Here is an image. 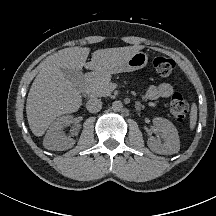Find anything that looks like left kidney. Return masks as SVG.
I'll use <instances>...</instances> for the list:
<instances>
[{"mask_svg": "<svg viewBox=\"0 0 216 216\" xmlns=\"http://www.w3.org/2000/svg\"><path fill=\"white\" fill-rule=\"evenodd\" d=\"M154 125L163 133L164 143L154 137L148 139V147L155 153L163 155L175 154L180 150V140L177 129L175 126L167 119L164 118H154Z\"/></svg>", "mask_w": 216, "mask_h": 216, "instance_id": "5707ae66", "label": "left kidney"}]
</instances>
